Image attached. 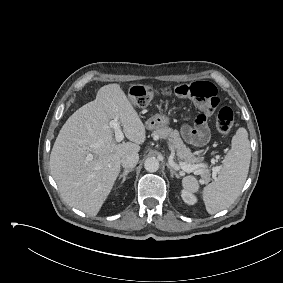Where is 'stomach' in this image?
<instances>
[{"mask_svg":"<svg viewBox=\"0 0 283 283\" xmlns=\"http://www.w3.org/2000/svg\"><path fill=\"white\" fill-rule=\"evenodd\" d=\"M170 119L165 114H155L146 121V128L149 130H158L169 125Z\"/></svg>","mask_w":283,"mask_h":283,"instance_id":"1","label":"stomach"}]
</instances>
